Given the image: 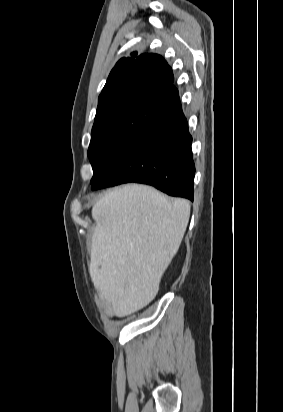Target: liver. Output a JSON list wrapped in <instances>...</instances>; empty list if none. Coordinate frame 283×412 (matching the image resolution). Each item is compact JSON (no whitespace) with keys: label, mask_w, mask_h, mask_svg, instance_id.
I'll return each mask as SVG.
<instances>
[{"label":"liver","mask_w":283,"mask_h":412,"mask_svg":"<svg viewBox=\"0 0 283 412\" xmlns=\"http://www.w3.org/2000/svg\"><path fill=\"white\" fill-rule=\"evenodd\" d=\"M92 217V281L116 316H128L155 298L186 231L190 204L128 184L100 198Z\"/></svg>","instance_id":"1"}]
</instances>
